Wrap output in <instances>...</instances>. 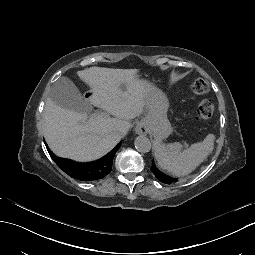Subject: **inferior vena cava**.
Listing matches in <instances>:
<instances>
[{
	"instance_id": "1",
	"label": "inferior vena cava",
	"mask_w": 255,
	"mask_h": 255,
	"mask_svg": "<svg viewBox=\"0 0 255 255\" xmlns=\"http://www.w3.org/2000/svg\"><path fill=\"white\" fill-rule=\"evenodd\" d=\"M130 128V123L127 121H123L116 126V131L118 132L120 137H123L127 134Z\"/></svg>"
}]
</instances>
